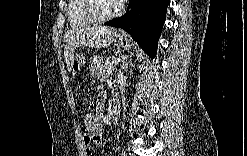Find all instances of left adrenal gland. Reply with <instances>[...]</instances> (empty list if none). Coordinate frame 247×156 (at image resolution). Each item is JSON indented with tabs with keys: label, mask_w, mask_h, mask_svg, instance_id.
<instances>
[{
	"label": "left adrenal gland",
	"mask_w": 247,
	"mask_h": 156,
	"mask_svg": "<svg viewBox=\"0 0 247 156\" xmlns=\"http://www.w3.org/2000/svg\"><path fill=\"white\" fill-rule=\"evenodd\" d=\"M126 68H127L126 64L122 66V69L126 70Z\"/></svg>",
	"instance_id": "left-adrenal-gland-1"
}]
</instances>
